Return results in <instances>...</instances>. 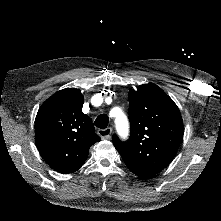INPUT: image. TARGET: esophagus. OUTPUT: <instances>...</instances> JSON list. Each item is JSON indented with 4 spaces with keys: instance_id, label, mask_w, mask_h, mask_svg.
Returning a JSON list of instances; mask_svg holds the SVG:
<instances>
[{
    "instance_id": "obj_1",
    "label": "esophagus",
    "mask_w": 221,
    "mask_h": 221,
    "mask_svg": "<svg viewBox=\"0 0 221 221\" xmlns=\"http://www.w3.org/2000/svg\"><path fill=\"white\" fill-rule=\"evenodd\" d=\"M98 135L103 139V140H110L111 139V133H112V128L108 127L105 129H99L97 131Z\"/></svg>"
}]
</instances>
